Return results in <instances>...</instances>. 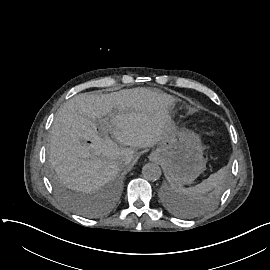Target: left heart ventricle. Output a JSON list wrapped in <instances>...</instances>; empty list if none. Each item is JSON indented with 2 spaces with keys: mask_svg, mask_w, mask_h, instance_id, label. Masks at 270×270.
Returning a JSON list of instances; mask_svg holds the SVG:
<instances>
[{
  "mask_svg": "<svg viewBox=\"0 0 270 270\" xmlns=\"http://www.w3.org/2000/svg\"><path fill=\"white\" fill-rule=\"evenodd\" d=\"M188 153H189L188 148H186V147L184 146V147H182V148H179V149L176 151V156H177V158L182 159V158H184Z\"/></svg>",
  "mask_w": 270,
  "mask_h": 270,
  "instance_id": "1",
  "label": "left heart ventricle"
}]
</instances>
